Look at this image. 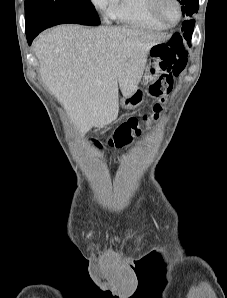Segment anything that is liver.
Listing matches in <instances>:
<instances>
[{
  "label": "liver",
  "instance_id": "6515ba94",
  "mask_svg": "<svg viewBox=\"0 0 227 298\" xmlns=\"http://www.w3.org/2000/svg\"><path fill=\"white\" fill-rule=\"evenodd\" d=\"M170 35L129 27L60 25L34 42L39 72L81 136L118 117V84L131 95L153 46Z\"/></svg>",
  "mask_w": 227,
  "mask_h": 298
}]
</instances>
